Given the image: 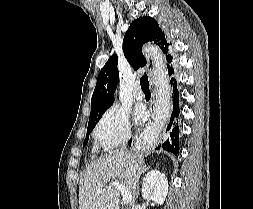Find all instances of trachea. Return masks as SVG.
Instances as JSON below:
<instances>
[{"instance_id": "1", "label": "trachea", "mask_w": 253, "mask_h": 209, "mask_svg": "<svg viewBox=\"0 0 253 209\" xmlns=\"http://www.w3.org/2000/svg\"><path fill=\"white\" fill-rule=\"evenodd\" d=\"M140 84H141L142 90H149V81H148L147 75H144L141 77Z\"/></svg>"}]
</instances>
